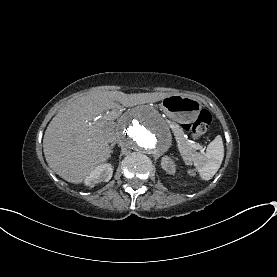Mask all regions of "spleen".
Segmentation results:
<instances>
[{"mask_svg":"<svg viewBox=\"0 0 277 277\" xmlns=\"http://www.w3.org/2000/svg\"><path fill=\"white\" fill-rule=\"evenodd\" d=\"M191 156L200 177L205 181L210 180L218 171L223 161L224 145L222 137L220 135L216 136L206 148L205 154L193 151Z\"/></svg>","mask_w":277,"mask_h":277,"instance_id":"obj_1","label":"spleen"}]
</instances>
